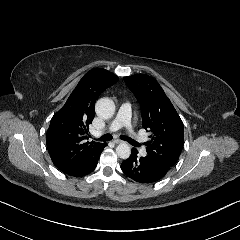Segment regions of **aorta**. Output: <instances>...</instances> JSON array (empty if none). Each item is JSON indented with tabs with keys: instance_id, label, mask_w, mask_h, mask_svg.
<instances>
[{
	"instance_id": "762f6f07",
	"label": "aorta",
	"mask_w": 240,
	"mask_h": 240,
	"mask_svg": "<svg viewBox=\"0 0 240 240\" xmlns=\"http://www.w3.org/2000/svg\"><path fill=\"white\" fill-rule=\"evenodd\" d=\"M95 112L100 118L110 119L115 113L114 101L107 97L100 98L95 104ZM116 153L119 158L127 159L131 154L130 146L127 143H120L116 148Z\"/></svg>"
}]
</instances>
